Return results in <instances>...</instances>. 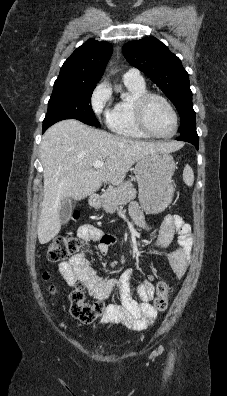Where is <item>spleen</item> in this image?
<instances>
[{
  "label": "spleen",
  "instance_id": "3e777b00",
  "mask_svg": "<svg viewBox=\"0 0 227 396\" xmlns=\"http://www.w3.org/2000/svg\"><path fill=\"white\" fill-rule=\"evenodd\" d=\"M183 180L187 186H192L194 183V172L189 165H186L183 170Z\"/></svg>",
  "mask_w": 227,
  "mask_h": 396
}]
</instances>
